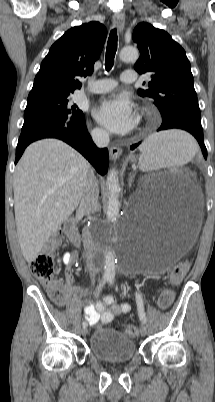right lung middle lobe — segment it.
Returning a JSON list of instances; mask_svg holds the SVG:
<instances>
[{"mask_svg":"<svg viewBox=\"0 0 215 402\" xmlns=\"http://www.w3.org/2000/svg\"><path fill=\"white\" fill-rule=\"evenodd\" d=\"M85 120L84 114L70 102L69 94H40L28 96L24 124L18 145Z\"/></svg>","mask_w":215,"mask_h":402,"instance_id":"right-lung-middle-lobe-1","label":"right lung middle lobe"}]
</instances>
